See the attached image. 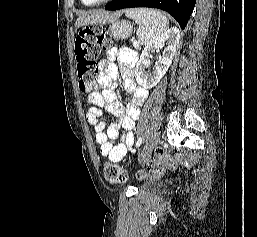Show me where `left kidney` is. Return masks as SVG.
Here are the masks:
<instances>
[{
  "label": "left kidney",
  "instance_id": "5707ae66",
  "mask_svg": "<svg viewBox=\"0 0 257 237\" xmlns=\"http://www.w3.org/2000/svg\"><path fill=\"white\" fill-rule=\"evenodd\" d=\"M179 41L180 31L177 27H172L144 48L135 69V78L140 86L150 89L158 84L172 63ZM165 44L167 47L159 56L153 71L145 73V68L150 64L151 53L161 50Z\"/></svg>",
  "mask_w": 257,
  "mask_h": 237
}]
</instances>
